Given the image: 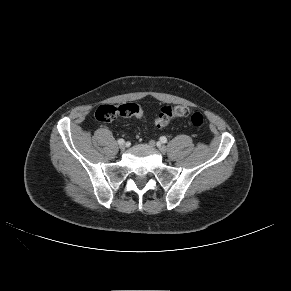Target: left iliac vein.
<instances>
[{
    "label": "left iliac vein",
    "instance_id": "1",
    "mask_svg": "<svg viewBox=\"0 0 291 291\" xmlns=\"http://www.w3.org/2000/svg\"><path fill=\"white\" fill-rule=\"evenodd\" d=\"M154 145V143H151V146H153ZM158 149H159V151L161 152V153H165L166 152V147L164 146V145H160L159 147H158Z\"/></svg>",
    "mask_w": 291,
    "mask_h": 291
}]
</instances>
